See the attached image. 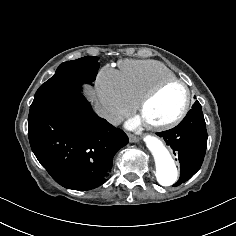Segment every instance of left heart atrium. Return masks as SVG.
Returning a JSON list of instances; mask_svg holds the SVG:
<instances>
[{"instance_id":"left-heart-atrium-1","label":"left heart atrium","mask_w":236,"mask_h":236,"mask_svg":"<svg viewBox=\"0 0 236 236\" xmlns=\"http://www.w3.org/2000/svg\"><path fill=\"white\" fill-rule=\"evenodd\" d=\"M142 119L140 116L132 118L129 122L128 125L131 128H139L141 126Z\"/></svg>"}]
</instances>
